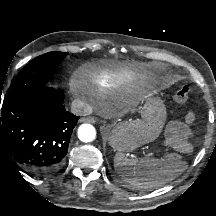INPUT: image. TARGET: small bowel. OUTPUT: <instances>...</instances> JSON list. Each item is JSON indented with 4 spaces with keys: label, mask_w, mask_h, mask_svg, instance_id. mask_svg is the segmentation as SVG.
I'll list each match as a JSON object with an SVG mask.
<instances>
[{
    "label": "small bowel",
    "mask_w": 216,
    "mask_h": 216,
    "mask_svg": "<svg viewBox=\"0 0 216 216\" xmlns=\"http://www.w3.org/2000/svg\"><path fill=\"white\" fill-rule=\"evenodd\" d=\"M194 119V113L188 112L183 121L175 120L168 124L166 137L171 148L184 154L192 152V145L189 139L193 134L191 126Z\"/></svg>",
    "instance_id": "obj_1"
}]
</instances>
